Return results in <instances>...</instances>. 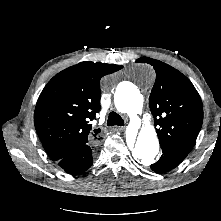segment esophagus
I'll list each match as a JSON object with an SVG mask.
<instances>
[{
	"mask_svg": "<svg viewBox=\"0 0 221 221\" xmlns=\"http://www.w3.org/2000/svg\"><path fill=\"white\" fill-rule=\"evenodd\" d=\"M116 129L119 130V131H124V130H125V127H123V126H121V127L118 126V127H116Z\"/></svg>",
	"mask_w": 221,
	"mask_h": 221,
	"instance_id": "obj_1",
	"label": "esophagus"
}]
</instances>
